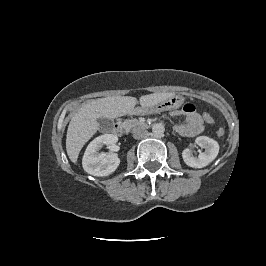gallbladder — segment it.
Instances as JSON below:
<instances>
[{"instance_id":"gallbladder-1","label":"gallbladder","mask_w":266,"mask_h":266,"mask_svg":"<svg viewBox=\"0 0 266 266\" xmlns=\"http://www.w3.org/2000/svg\"><path fill=\"white\" fill-rule=\"evenodd\" d=\"M98 123H99V128L101 130H111L112 127H113V121L111 119H108V118H98Z\"/></svg>"}]
</instances>
